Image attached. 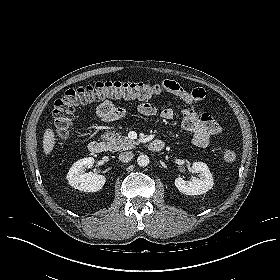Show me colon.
I'll return each instance as SVG.
<instances>
[{
    "label": "colon",
    "mask_w": 280,
    "mask_h": 280,
    "mask_svg": "<svg viewBox=\"0 0 280 280\" xmlns=\"http://www.w3.org/2000/svg\"><path fill=\"white\" fill-rule=\"evenodd\" d=\"M162 88L155 83H126L120 81H100L94 85L70 89L54 102L53 118L55 134L58 139L68 135L69 128L74 120V111L78 105H85L97 99H147L160 94ZM237 152L232 147L222 151V160L226 164L233 163Z\"/></svg>",
    "instance_id": "obj_1"
}]
</instances>
